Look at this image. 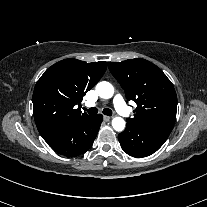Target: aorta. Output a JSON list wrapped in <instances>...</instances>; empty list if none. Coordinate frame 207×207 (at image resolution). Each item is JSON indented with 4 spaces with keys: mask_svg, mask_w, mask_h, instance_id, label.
<instances>
[{
    "mask_svg": "<svg viewBox=\"0 0 207 207\" xmlns=\"http://www.w3.org/2000/svg\"><path fill=\"white\" fill-rule=\"evenodd\" d=\"M96 91L101 98L109 99L114 94V88L111 83L102 81L96 85ZM114 130L121 132L125 129V120L122 117H115L112 120Z\"/></svg>",
    "mask_w": 207,
    "mask_h": 207,
    "instance_id": "1",
    "label": "aorta"
}]
</instances>
